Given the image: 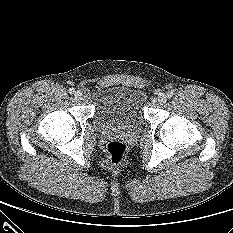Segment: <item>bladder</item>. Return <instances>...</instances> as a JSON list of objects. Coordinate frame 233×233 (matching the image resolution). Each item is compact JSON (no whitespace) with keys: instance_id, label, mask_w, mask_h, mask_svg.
I'll return each mask as SVG.
<instances>
[{"instance_id":"bladder-1","label":"bladder","mask_w":233,"mask_h":233,"mask_svg":"<svg viewBox=\"0 0 233 233\" xmlns=\"http://www.w3.org/2000/svg\"><path fill=\"white\" fill-rule=\"evenodd\" d=\"M145 100V92L133 86L98 87L93 93L94 122L106 128H139L145 120Z\"/></svg>"}]
</instances>
